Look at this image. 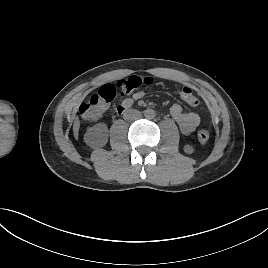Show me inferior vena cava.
Wrapping results in <instances>:
<instances>
[{"label": "inferior vena cava", "instance_id": "obj_1", "mask_svg": "<svg viewBox=\"0 0 268 268\" xmlns=\"http://www.w3.org/2000/svg\"><path fill=\"white\" fill-rule=\"evenodd\" d=\"M141 117V113L138 110L130 109L124 114V119L127 121H133L139 119Z\"/></svg>", "mask_w": 268, "mask_h": 268}]
</instances>
